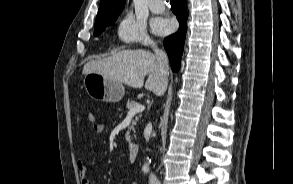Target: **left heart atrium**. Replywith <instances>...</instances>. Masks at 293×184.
Returning <instances> with one entry per match:
<instances>
[{"label": "left heart atrium", "mask_w": 293, "mask_h": 184, "mask_svg": "<svg viewBox=\"0 0 293 184\" xmlns=\"http://www.w3.org/2000/svg\"><path fill=\"white\" fill-rule=\"evenodd\" d=\"M172 26L167 20H159L154 24V30L158 34H166L171 31Z\"/></svg>", "instance_id": "39dd6f15"}]
</instances>
